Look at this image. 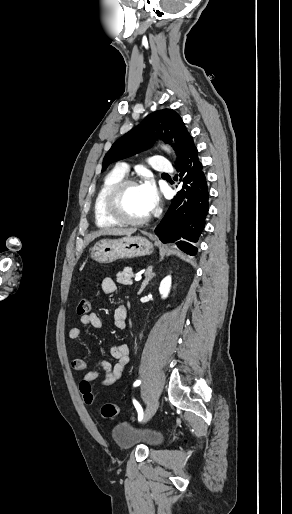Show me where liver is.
Instances as JSON below:
<instances>
[{"mask_svg":"<svg viewBox=\"0 0 292 514\" xmlns=\"http://www.w3.org/2000/svg\"><path fill=\"white\" fill-rule=\"evenodd\" d=\"M136 232L135 228H103L95 234H91V240L99 238V236H131Z\"/></svg>","mask_w":292,"mask_h":514,"instance_id":"1","label":"liver"}]
</instances>
